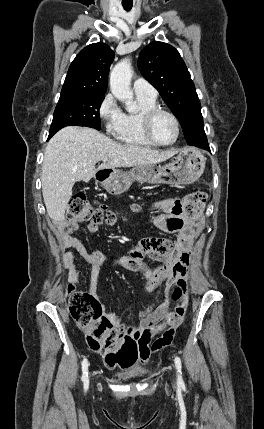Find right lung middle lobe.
Masks as SVG:
<instances>
[{
	"label": "right lung middle lobe",
	"instance_id": "1",
	"mask_svg": "<svg viewBox=\"0 0 264 429\" xmlns=\"http://www.w3.org/2000/svg\"><path fill=\"white\" fill-rule=\"evenodd\" d=\"M104 95L87 93H61L49 131L52 137L69 125L87 126L100 130L99 109Z\"/></svg>",
	"mask_w": 264,
	"mask_h": 429
}]
</instances>
